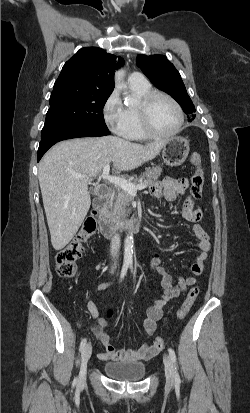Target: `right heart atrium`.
I'll return each instance as SVG.
<instances>
[{"mask_svg": "<svg viewBox=\"0 0 250 413\" xmlns=\"http://www.w3.org/2000/svg\"><path fill=\"white\" fill-rule=\"evenodd\" d=\"M102 115L108 129L117 134L123 135L126 124V112L117 91H112L106 98Z\"/></svg>", "mask_w": 250, "mask_h": 413, "instance_id": "right-heart-atrium-1", "label": "right heart atrium"}]
</instances>
